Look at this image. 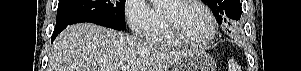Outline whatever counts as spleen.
Listing matches in <instances>:
<instances>
[{
    "instance_id": "3e777b00",
    "label": "spleen",
    "mask_w": 301,
    "mask_h": 71,
    "mask_svg": "<svg viewBox=\"0 0 301 71\" xmlns=\"http://www.w3.org/2000/svg\"><path fill=\"white\" fill-rule=\"evenodd\" d=\"M230 71H240L239 66H237L232 60L229 62Z\"/></svg>"
}]
</instances>
